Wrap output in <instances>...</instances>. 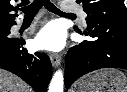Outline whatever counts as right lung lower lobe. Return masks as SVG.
Listing matches in <instances>:
<instances>
[{"label": "right lung lower lobe", "instance_id": "obj_1", "mask_svg": "<svg viewBox=\"0 0 127 92\" xmlns=\"http://www.w3.org/2000/svg\"><path fill=\"white\" fill-rule=\"evenodd\" d=\"M14 24L0 32V68L18 75L35 91L46 92L52 76L50 59L44 53L29 54L22 48L24 40L10 36V28Z\"/></svg>", "mask_w": 127, "mask_h": 92}]
</instances>
